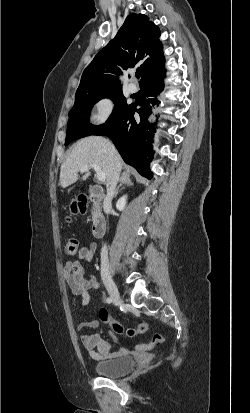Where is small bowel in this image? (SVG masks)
<instances>
[{"instance_id":"obj_1","label":"small bowel","mask_w":250,"mask_h":413,"mask_svg":"<svg viewBox=\"0 0 250 413\" xmlns=\"http://www.w3.org/2000/svg\"><path fill=\"white\" fill-rule=\"evenodd\" d=\"M95 244L83 246L78 253V260H69L65 263L63 272L70 292L74 296L80 297V306L85 307L90 303L89 290L98 289L99 282L94 275L84 277V267L82 263L88 264L92 261L95 253ZM99 326L98 320L81 322L77 329L81 333L80 340L91 358L95 360H107L124 355L128 352L126 348H119L115 352H110V344L101 338L98 333L86 334L85 329H96ZM147 330V329H146ZM112 339L117 342V337L112 335Z\"/></svg>"}]
</instances>
